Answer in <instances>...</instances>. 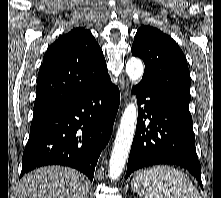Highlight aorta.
Masks as SVG:
<instances>
[{
	"mask_svg": "<svg viewBox=\"0 0 221 198\" xmlns=\"http://www.w3.org/2000/svg\"><path fill=\"white\" fill-rule=\"evenodd\" d=\"M126 72L132 82L139 81L144 72L142 61L135 57L129 59ZM137 113V104L133 99L124 110L112 149L109 162V176L112 180L117 179L124 169L135 133Z\"/></svg>",
	"mask_w": 221,
	"mask_h": 198,
	"instance_id": "762f6f07",
	"label": "aorta"
}]
</instances>
